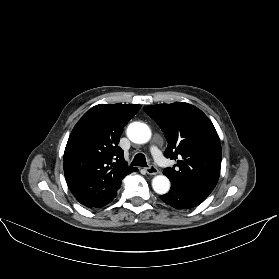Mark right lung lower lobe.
Instances as JSON below:
<instances>
[{"label":"right lung lower lobe","mask_w":279,"mask_h":279,"mask_svg":"<svg viewBox=\"0 0 279 279\" xmlns=\"http://www.w3.org/2000/svg\"><path fill=\"white\" fill-rule=\"evenodd\" d=\"M110 201H111V200H110ZM110 201H109V202H110ZM109 202H107V203H109ZM107 203H106V204H107ZM106 204H103V205H100V206H97V207H102V206H104V205H106Z\"/></svg>","instance_id":"right-lung-lower-lobe-1"}]
</instances>
